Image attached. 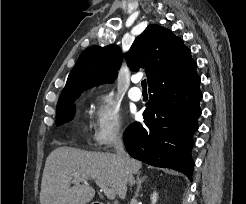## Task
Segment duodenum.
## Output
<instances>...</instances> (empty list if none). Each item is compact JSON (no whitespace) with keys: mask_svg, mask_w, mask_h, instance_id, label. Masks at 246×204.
<instances>
[{"mask_svg":"<svg viewBox=\"0 0 246 204\" xmlns=\"http://www.w3.org/2000/svg\"><path fill=\"white\" fill-rule=\"evenodd\" d=\"M92 204H104V203H101V202H94Z\"/></svg>","mask_w":246,"mask_h":204,"instance_id":"410a0bca","label":"duodenum"}]
</instances>
